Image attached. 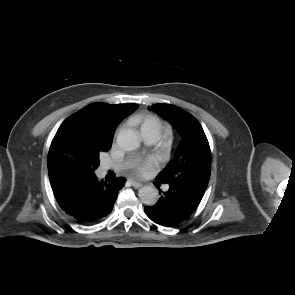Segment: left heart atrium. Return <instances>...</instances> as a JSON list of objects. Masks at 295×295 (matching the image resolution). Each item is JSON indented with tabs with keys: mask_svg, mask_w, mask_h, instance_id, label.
I'll use <instances>...</instances> for the list:
<instances>
[{
	"mask_svg": "<svg viewBox=\"0 0 295 295\" xmlns=\"http://www.w3.org/2000/svg\"><path fill=\"white\" fill-rule=\"evenodd\" d=\"M156 164L157 160L154 157H149L137 161L134 164V170L138 175L142 176L148 173L151 169H153L156 166Z\"/></svg>",
	"mask_w": 295,
	"mask_h": 295,
	"instance_id": "obj_1",
	"label": "left heart atrium"
}]
</instances>
